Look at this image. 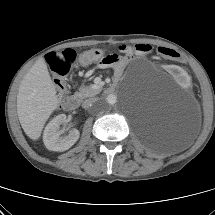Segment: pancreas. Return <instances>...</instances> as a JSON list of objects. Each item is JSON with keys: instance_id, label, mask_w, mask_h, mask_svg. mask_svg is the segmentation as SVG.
<instances>
[{"instance_id": "cf45deb5", "label": "pancreas", "mask_w": 215, "mask_h": 215, "mask_svg": "<svg viewBox=\"0 0 215 215\" xmlns=\"http://www.w3.org/2000/svg\"><path fill=\"white\" fill-rule=\"evenodd\" d=\"M102 87L100 85L91 84L90 86H83L79 88V91L75 93V96L84 99L87 97H93L100 93Z\"/></svg>"}]
</instances>
